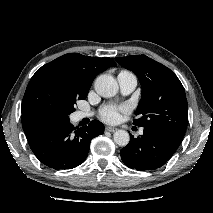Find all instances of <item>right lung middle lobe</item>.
Returning a JSON list of instances; mask_svg holds the SVG:
<instances>
[{"label": "right lung middle lobe", "instance_id": "dd1d6c3e", "mask_svg": "<svg viewBox=\"0 0 213 213\" xmlns=\"http://www.w3.org/2000/svg\"><path fill=\"white\" fill-rule=\"evenodd\" d=\"M88 91L50 75H34L26 88L21 112L69 120V115L75 111L74 105L85 99Z\"/></svg>", "mask_w": 213, "mask_h": 213}]
</instances>
